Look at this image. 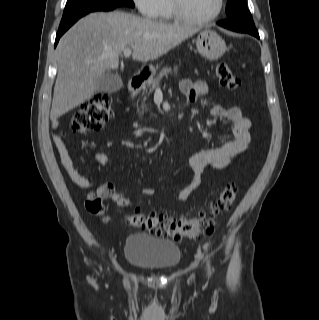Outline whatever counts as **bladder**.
Wrapping results in <instances>:
<instances>
[{
    "instance_id": "obj_1",
    "label": "bladder",
    "mask_w": 319,
    "mask_h": 320,
    "mask_svg": "<svg viewBox=\"0 0 319 320\" xmlns=\"http://www.w3.org/2000/svg\"><path fill=\"white\" fill-rule=\"evenodd\" d=\"M124 253L128 262L148 270H168L181 259V250L175 241L147 234H129Z\"/></svg>"
}]
</instances>
